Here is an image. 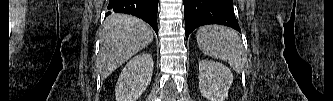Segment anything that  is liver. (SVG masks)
<instances>
[{
	"label": "liver",
	"instance_id": "6515ba94",
	"mask_svg": "<svg viewBox=\"0 0 333 101\" xmlns=\"http://www.w3.org/2000/svg\"><path fill=\"white\" fill-rule=\"evenodd\" d=\"M153 40V29L131 15L112 14L103 24L97 69L102 79Z\"/></svg>",
	"mask_w": 333,
	"mask_h": 101
}]
</instances>
